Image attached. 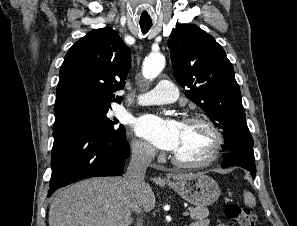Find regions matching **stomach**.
Wrapping results in <instances>:
<instances>
[{
	"label": "stomach",
	"instance_id": "obj_1",
	"mask_svg": "<svg viewBox=\"0 0 297 226\" xmlns=\"http://www.w3.org/2000/svg\"><path fill=\"white\" fill-rule=\"evenodd\" d=\"M168 185L184 200L199 207L214 203L220 196L217 182L204 173L191 174Z\"/></svg>",
	"mask_w": 297,
	"mask_h": 226
}]
</instances>
